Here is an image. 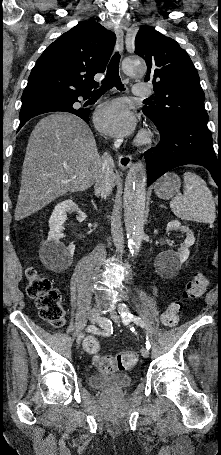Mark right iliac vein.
<instances>
[{
    "instance_id": "1",
    "label": "right iliac vein",
    "mask_w": 221,
    "mask_h": 455,
    "mask_svg": "<svg viewBox=\"0 0 221 455\" xmlns=\"http://www.w3.org/2000/svg\"><path fill=\"white\" fill-rule=\"evenodd\" d=\"M89 319H90L91 323H93V324H95V323L98 322V320H99V314H98V311H97L96 308H93V309H92V311H91V313H90V316H89ZM84 336H85L84 333H81V334L78 335L77 340H76L78 344L81 343V341H82V339L84 338Z\"/></svg>"
}]
</instances>
